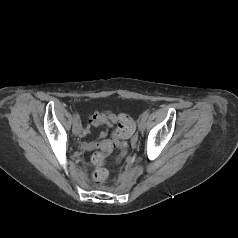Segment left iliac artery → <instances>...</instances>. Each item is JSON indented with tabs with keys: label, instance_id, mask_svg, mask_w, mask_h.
Masks as SVG:
<instances>
[{
	"label": "left iliac artery",
	"instance_id": "obj_1",
	"mask_svg": "<svg viewBox=\"0 0 238 238\" xmlns=\"http://www.w3.org/2000/svg\"><path fill=\"white\" fill-rule=\"evenodd\" d=\"M149 114H150V112L147 110V111H145L143 114H142V119H147L148 118V116H149Z\"/></svg>",
	"mask_w": 238,
	"mask_h": 238
}]
</instances>
